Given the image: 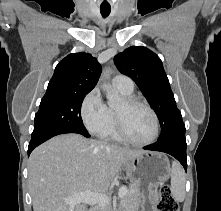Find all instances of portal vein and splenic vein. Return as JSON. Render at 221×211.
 I'll use <instances>...</instances> for the list:
<instances>
[{
	"label": "portal vein and splenic vein",
	"mask_w": 221,
	"mask_h": 211,
	"mask_svg": "<svg viewBox=\"0 0 221 211\" xmlns=\"http://www.w3.org/2000/svg\"><path fill=\"white\" fill-rule=\"evenodd\" d=\"M127 192L125 186H122L118 191V196L122 199ZM70 206H74L79 203L85 204H97L100 207H105L110 203V200L107 195L101 193H94L91 191H85L80 194H76L72 197L66 198L64 200Z\"/></svg>",
	"instance_id": "1"
}]
</instances>
